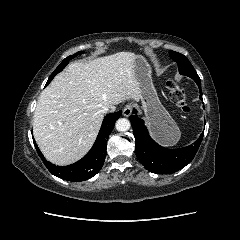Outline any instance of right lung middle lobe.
<instances>
[{
    "label": "right lung middle lobe",
    "instance_id": "1",
    "mask_svg": "<svg viewBox=\"0 0 240 240\" xmlns=\"http://www.w3.org/2000/svg\"><path fill=\"white\" fill-rule=\"evenodd\" d=\"M82 52H78L74 55L68 56L67 58H65L62 63L55 69V71L51 74V76L49 77L47 84L51 82V80L54 78V76L59 73L60 71L63 70V68H65V66L68 64V61L70 59H72L73 57H75L77 54H81Z\"/></svg>",
    "mask_w": 240,
    "mask_h": 240
}]
</instances>
